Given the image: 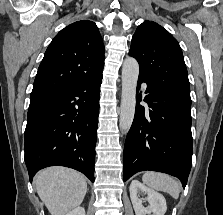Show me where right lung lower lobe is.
<instances>
[{
  "instance_id": "98d812e1",
  "label": "right lung lower lobe",
  "mask_w": 223,
  "mask_h": 215,
  "mask_svg": "<svg viewBox=\"0 0 223 215\" xmlns=\"http://www.w3.org/2000/svg\"><path fill=\"white\" fill-rule=\"evenodd\" d=\"M102 72L46 98L30 101L25 129L29 179L42 168L60 165L94 182V159Z\"/></svg>"
}]
</instances>
